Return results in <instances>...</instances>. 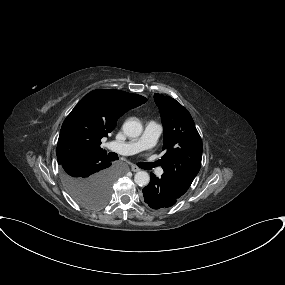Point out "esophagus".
Segmentation results:
<instances>
[{"label":"esophagus","instance_id":"obj_1","mask_svg":"<svg viewBox=\"0 0 285 285\" xmlns=\"http://www.w3.org/2000/svg\"><path fill=\"white\" fill-rule=\"evenodd\" d=\"M131 170L133 172H138L140 169L137 166H135V165H131Z\"/></svg>","mask_w":285,"mask_h":285}]
</instances>
